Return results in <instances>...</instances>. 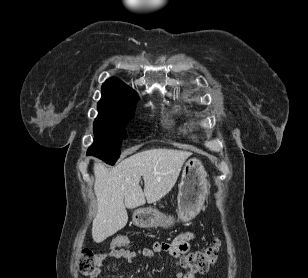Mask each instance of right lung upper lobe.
<instances>
[{"mask_svg":"<svg viewBox=\"0 0 308 278\" xmlns=\"http://www.w3.org/2000/svg\"><path fill=\"white\" fill-rule=\"evenodd\" d=\"M136 93L116 78L108 79L102 85V98L98 103L96 120H128L134 115Z\"/></svg>","mask_w":308,"mask_h":278,"instance_id":"cb5924a9","label":"right lung upper lobe"}]
</instances>
